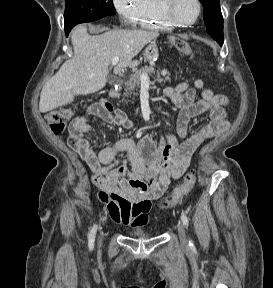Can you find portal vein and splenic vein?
I'll use <instances>...</instances> for the list:
<instances>
[{"mask_svg": "<svg viewBox=\"0 0 273 288\" xmlns=\"http://www.w3.org/2000/svg\"><path fill=\"white\" fill-rule=\"evenodd\" d=\"M118 62H119V57H114L112 59L111 64L113 66H115ZM149 82H150V79H149L148 75L147 74H142L141 75V83L148 84Z\"/></svg>", "mask_w": 273, "mask_h": 288, "instance_id": "obj_1", "label": "portal vein and splenic vein"}]
</instances>
